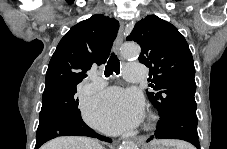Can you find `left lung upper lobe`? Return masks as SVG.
<instances>
[{"instance_id": "5c2ea615", "label": "left lung upper lobe", "mask_w": 227, "mask_h": 149, "mask_svg": "<svg viewBox=\"0 0 227 149\" xmlns=\"http://www.w3.org/2000/svg\"><path fill=\"white\" fill-rule=\"evenodd\" d=\"M127 41L141 47L139 61L149 67V100L160 115H196L195 67L183 35L171 23L148 15L135 24Z\"/></svg>"}]
</instances>
